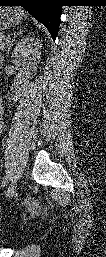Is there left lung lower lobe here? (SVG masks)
<instances>
[{"label": "left lung lower lobe", "mask_w": 106, "mask_h": 257, "mask_svg": "<svg viewBox=\"0 0 106 257\" xmlns=\"http://www.w3.org/2000/svg\"><path fill=\"white\" fill-rule=\"evenodd\" d=\"M0 4L2 6H22L47 27L55 40L61 14L59 0H0Z\"/></svg>", "instance_id": "obj_1"}]
</instances>
